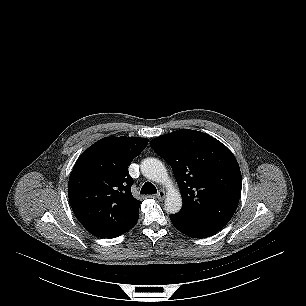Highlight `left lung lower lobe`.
Masks as SVG:
<instances>
[{
	"mask_svg": "<svg viewBox=\"0 0 306 306\" xmlns=\"http://www.w3.org/2000/svg\"><path fill=\"white\" fill-rule=\"evenodd\" d=\"M173 225L182 233L194 238H205L216 234L224 225L191 219L180 213L170 215Z\"/></svg>",
	"mask_w": 306,
	"mask_h": 306,
	"instance_id": "obj_1",
	"label": "left lung lower lobe"
}]
</instances>
